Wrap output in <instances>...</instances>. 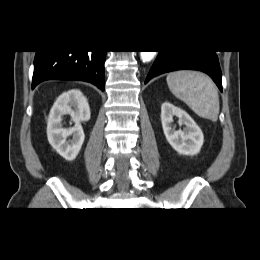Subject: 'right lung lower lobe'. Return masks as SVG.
Instances as JSON below:
<instances>
[{"label":"right lung lower lobe","instance_id":"obj_1","mask_svg":"<svg viewBox=\"0 0 260 260\" xmlns=\"http://www.w3.org/2000/svg\"><path fill=\"white\" fill-rule=\"evenodd\" d=\"M106 51H36L32 89L46 80H79L105 89Z\"/></svg>","mask_w":260,"mask_h":260}]
</instances>
